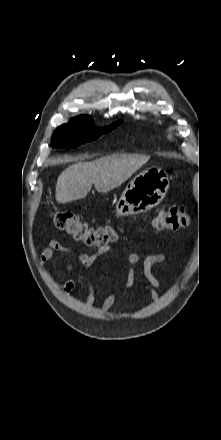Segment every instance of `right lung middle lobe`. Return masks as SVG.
I'll use <instances>...</instances> for the list:
<instances>
[{"label": "right lung middle lobe", "mask_w": 221, "mask_h": 440, "mask_svg": "<svg viewBox=\"0 0 221 440\" xmlns=\"http://www.w3.org/2000/svg\"><path fill=\"white\" fill-rule=\"evenodd\" d=\"M122 121H118L110 126L102 129H95L93 127L92 118L89 116H79L72 119L68 124L59 126L52 135V147L53 148H74L85 142L95 140L100 135L105 134L119 124Z\"/></svg>", "instance_id": "dd1d6c3e"}]
</instances>
